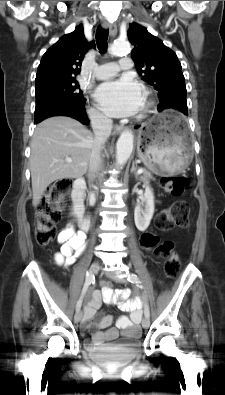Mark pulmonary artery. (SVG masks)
<instances>
[{"instance_id":"pulmonary-artery-1","label":"pulmonary artery","mask_w":225,"mask_h":395,"mask_svg":"<svg viewBox=\"0 0 225 395\" xmlns=\"http://www.w3.org/2000/svg\"><path fill=\"white\" fill-rule=\"evenodd\" d=\"M133 66L132 60L129 57H123L116 62H109L97 67L95 77L97 79H107L116 75L120 70H128Z\"/></svg>"}]
</instances>
